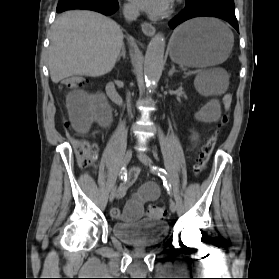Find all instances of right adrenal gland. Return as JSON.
Here are the masks:
<instances>
[{
    "label": "right adrenal gland",
    "instance_id": "right-adrenal-gland-1",
    "mask_svg": "<svg viewBox=\"0 0 279 279\" xmlns=\"http://www.w3.org/2000/svg\"><path fill=\"white\" fill-rule=\"evenodd\" d=\"M125 55H126V51H125V46L124 44L122 45V50H121V53L119 54L118 58H117V61H119L121 59V57L125 58Z\"/></svg>",
    "mask_w": 279,
    "mask_h": 279
}]
</instances>
